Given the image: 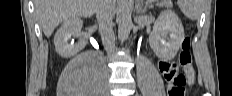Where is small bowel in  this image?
<instances>
[{
    "mask_svg": "<svg viewBox=\"0 0 232 96\" xmlns=\"http://www.w3.org/2000/svg\"><path fill=\"white\" fill-rule=\"evenodd\" d=\"M158 68L162 72V68H172V63H158ZM185 74L189 81L193 80L194 77V71L192 67L186 68L185 69Z\"/></svg>",
    "mask_w": 232,
    "mask_h": 96,
    "instance_id": "1",
    "label": "small bowel"
}]
</instances>
